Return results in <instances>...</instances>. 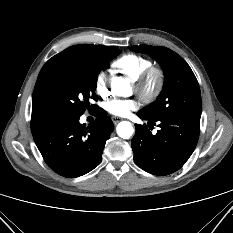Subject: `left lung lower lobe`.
I'll return each mask as SVG.
<instances>
[{
  "label": "left lung lower lobe",
  "mask_w": 233,
  "mask_h": 233,
  "mask_svg": "<svg viewBox=\"0 0 233 233\" xmlns=\"http://www.w3.org/2000/svg\"><path fill=\"white\" fill-rule=\"evenodd\" d=\"M137 115L148 124L140 112ZM160 130L153 135L146 125L136 124L132 138L135 163L143 170L158 176L179 170L193 153L199 137L200 116L173 115L157 120Z\"/></svg>",
  "instance_id": "1"
}]
</instances>
